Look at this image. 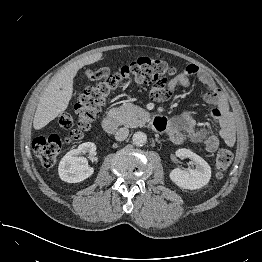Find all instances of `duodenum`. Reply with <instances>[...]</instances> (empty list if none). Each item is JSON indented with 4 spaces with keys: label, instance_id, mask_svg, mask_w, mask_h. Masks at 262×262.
Returning a JSON list of instances; mask_svg holds the SVG:
<instances>
[{
    "label": "duodenum",
    "instance_id": "410a0bca",
    "mask_svg": "<svg viewBox=\"0 0 262 262\" xmlns=\"http://www.w3.org/2000/svg\"><path fill=\"white\" fill-rule=\"evenodd\" d=\"M154 126L156 129L160 127V125L163 123L161 117H156L153 119ZM118 117L114 114L107 115L102 120V126L107 132H114L118 128Z\"/></svg>",
    "mask_w": 262,
    "mask_h": 262
}]
</instances>
